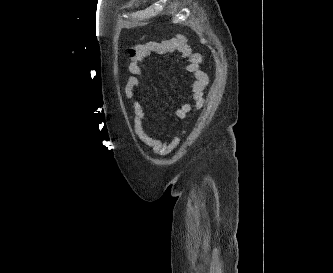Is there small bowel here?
<instances>
[{
  "mask_svg": "<svg viewBox=\"0 0 333 273\" xmlns=\"http://www.w3.org/2000/svg\"><path fill=\"white\" fill-rule=\"evenodd\" d=\"M167 53H178L181 58L186 60L185 68L194 77L191 87L194 105L196 108H201L204 104V91L209 78L200 69L202 56L198 53H193L187 39L181 35L170 39L164 38L160 41H146L135 45L129 50L130 62L127 67V78L124 87L125 96L128 99H133L135 91L140 88V77L143 75L145 59L154 54ZM189 109L190 106L188 104L181 105L176 110L177 117L184 118ZM133 128L137 137L150 147L156 155H165L175 145V141L165 143L148 132L144 108L139 100H134L133 102Z\"/></svg>",
  "mask_w": 333,
  "mask_h": 273,
  "instance_id": "1",
  "label": "small bowel"
}]
</instances>
